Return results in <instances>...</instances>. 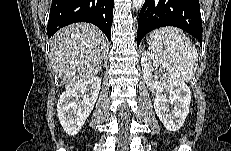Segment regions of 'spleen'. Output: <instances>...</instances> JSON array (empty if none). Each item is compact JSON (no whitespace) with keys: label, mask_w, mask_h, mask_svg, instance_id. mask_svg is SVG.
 <instances>
[{"label":"spleen","mask_w":231,"mask_h":151,"mask_svg":"<svg viewBox=\"0 0 231 151\" xmlns=\"http://www.w3.org/2000/svg\"><path fill=\"white\" fill-rule=\"evenodd\" d=\"M148 43L155 56L171 66L184 81H190L198 66L195 45L175 27H163L149 35Z\"/></svg>","instance_id":"spleen-1"}]
</instances>
